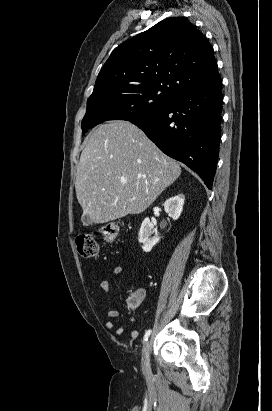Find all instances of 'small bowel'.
Listing matches in <instances>:
<instances>
[{
	"label": "small bowel",
	"instance_id": "c3829d8e",
	"mask_svg": "<svg viewBox=\"0 0 272 411\" xmlns=\"http://www.w3.org/2000/svg\"><path fill=\"white\" fill-rule=\"evenodd\" d=\"M124 268L121 265H117L113 268V274L114 275H120L123 272ZM100 288L104 292V294L107 296L110 291V283L107 280H102L100 282ZM108 317L111 319L106 322V328L114 331L116 335L121 336L126 333V329L124 327H119L117 324L113 321L114 319L118 318L120 313L118 310L109 308L107 311ZM130 337L133 340H136L139 338V331L136 329H132L129 331Z\"/></svg>",
	"mask_w": 272,
	"mask_h": 411
}]
</instances>
